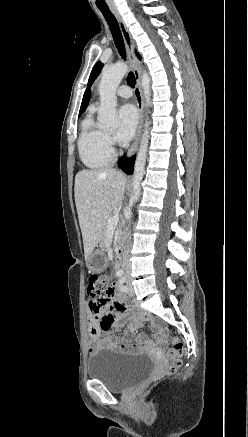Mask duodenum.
I'll use <instances>...</instances> for the list:
<instances>
[{"instance_id": "duodenum-1", "label": "duodenum", "mask_w": 248, "mask_h": 437, "mask_svg": "<svg viewBox=\"0 0 248 437\" xmlns=\"http://www.w3.org/2000/svg\"><path fill=\"white\" fill-rule=\"evenodd\" d=\"M125 251H126V247L124 244H121L117 247V251H116V263H117V265H120L122 263Z\"/></svg>"}]
</instances>
